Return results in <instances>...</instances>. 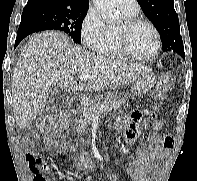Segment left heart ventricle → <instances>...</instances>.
<instances>
[{
  "label": "left heart ventricle",
  "instance_id": "obj_1",
  "mask_svg": "<svg viewBox=\"0 0 197 181\" xmlns=\"http://www.w3.org/2000/svg\"><path fill=\"white\" fill-rule=\"evenodd\" d=\"M121 24L118 28L122 27ZM129 44L134 53L140 56L151 55L156 48V38L153 31L146 25L134 28L129 36Z\"/></svg>",
  "mask_w": 197,
  "mask_h": 181
}]
</instances>
